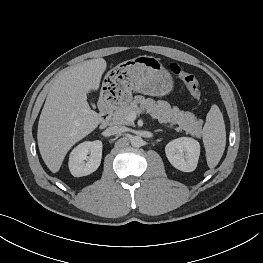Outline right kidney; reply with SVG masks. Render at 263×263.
<instances>
[{
  "label": "right kidney",
  "mask_w": 263,
  "mask_h": 263,
  "mask_svg": "<svg viewBox=\"0 0 263 263\" xmlns=\"http://www.w3.org/2000/svg\"><path fill=\"white\" fill-rule=\"evenodd\" d=\"M88 154H90L88 156ZM102 158V142L86 141L76 146L69 157V169L74 177L86 176L100 165Z\"/></svg>",
  "instance_id": "1"
}]
</instances>
